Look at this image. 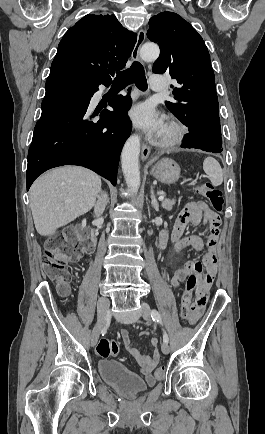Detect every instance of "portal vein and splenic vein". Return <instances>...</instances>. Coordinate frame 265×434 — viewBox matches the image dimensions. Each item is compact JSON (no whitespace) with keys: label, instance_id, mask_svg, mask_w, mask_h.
Returning <instances> with one entry per match:
<instances>
[{"label":"portal vein and splenic vein","instance_id":"18ae733b","mask_svg":"<svg viewBox=\"0 0 265 434\" xmlns=\"http://www.w3.org/2000/svg\"><path fill=\"white\" fill-rule=\"evenodd\" d=\"M158 200H160V202H162V200H164V196H159Z\"/></svg>","mask_w":265,"mask_h":434}]
</instances>
